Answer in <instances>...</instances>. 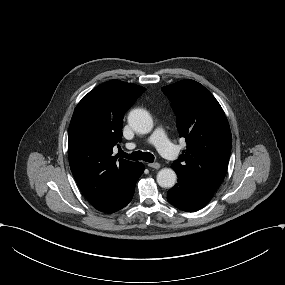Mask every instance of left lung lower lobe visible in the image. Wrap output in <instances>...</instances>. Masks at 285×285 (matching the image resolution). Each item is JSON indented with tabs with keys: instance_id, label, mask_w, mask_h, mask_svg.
<instances>
[{
	"instance_id": "0a47b994",
	"label": "left lung lower lobe",
	"mask_w": 285,
	"mask_h": 285,
	"mask_svg": "<svg viewBox=\"0 0 285 285\" xmlns=\"http://www.w3.org/2000/svg\"><path fill=\"white\" fill-rule=\"evenodd\" d=\"M213 195L214 192L178 175V183L168 191L167 200L178 209L194 212L206 206Z\"/></svg>"
}]
</instances>
